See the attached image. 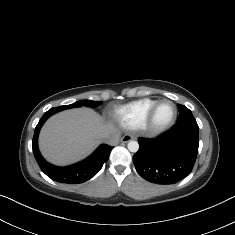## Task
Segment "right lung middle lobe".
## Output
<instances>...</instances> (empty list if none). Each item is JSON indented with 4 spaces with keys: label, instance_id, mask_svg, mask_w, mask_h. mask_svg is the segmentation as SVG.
<instances>
[{
    "label": "right lung middle lobe",
    "instance_id": "obj_1",
    "mask_svg": "<svg viewBox=\"0 0 235 235\" xmlns=\"http://www.w3.org/2000/svg\"><path fill=\"white\" fill-rule=\"evenodd\" d=\"M101 103H102V101L81 100V101H77L74 104L52 108V111L59 112V111L65 110V109H70V108H75V107H80V106L97 107Z\"/></svg>",
    "mask_w": 235,
    "mask_h": 235
}]
</instances>
